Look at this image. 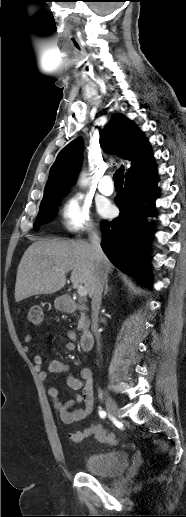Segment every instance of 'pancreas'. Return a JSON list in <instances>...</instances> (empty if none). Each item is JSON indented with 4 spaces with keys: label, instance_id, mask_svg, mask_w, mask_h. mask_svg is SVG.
<instances>
[{
    "label": "pancreas",
    "instance_id": "cf45deb5",
    "mask_svg": "<svg viewBox=\"0 0 186 517\" xmlns=\"http://www.w3.org/2000/svg\"><path fill=\"white\" fill-rule=\"evenodd\" d=\"M90 324V320L88 319L87 316H85L84 314H81V318L79 319L78 321V330H81L83 328H86L88 327Z\"/></svg>",
    "mask_w": 186,
    "mask_h": 517
}]
</instances>
